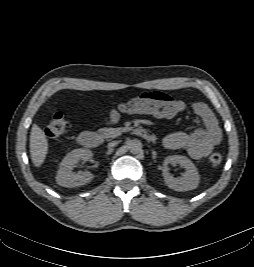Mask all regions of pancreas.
<instances>
[{"instance_id":"cf45deb5","label":"pancreas","mask_w":254,"mask_h":267,"mask_svg":"<svg viewBox=\"0 0 254 267\" xmlns=\"http://www.w3.org/2000/svg\"><path fill=\"white\" fill-rule=\"evenodd\" d=\"M122 131H124L123 128H101L99 129V133L103 135L104 137H116Z\"/></svg>"}]
</instances>
